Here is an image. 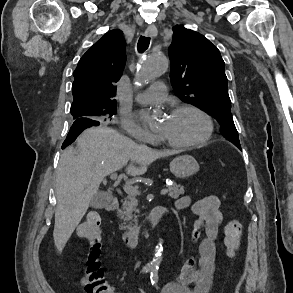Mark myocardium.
Wrapping results in <instances>:
<instances>
[{
	"label": "myocardium",
	"instance_id": "1",
	"mask_svg": "<svg viewBox=\"0 0 293 293\" xmlns=\"http://www.w3.org/2000/svg\"><path fill=\"white\" fill-rule=\"evenodd\" d=\"M183 111H193L195 113H197L198 115H200L206 124V130L204 135L192 142H177L168 138H165L163 136H160V140L167 146L170 147H175V148H192V147H197L200 145L205 144L207 141H209L214 133V122L212 117L205 112L204 110H202L201 108L192 105V104H182L179 106L174 107L171 111H170V115L173 114H177Z\"/></svg>",
	"mask_w": 293,
	"mask_h": 293
}]
</instances>
